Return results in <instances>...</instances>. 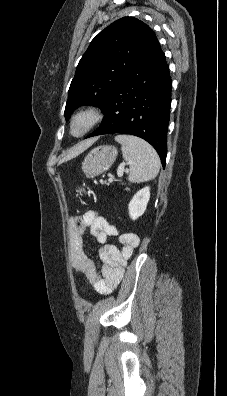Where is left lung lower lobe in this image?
<instances>
[{
	"label": "left lung lower lobe",
	"mask_w": 227,
	"mask_h": 396,
	"mask_svg": "<svg viewBox=\"0 0 227 396\" xmlns=\"http://www.w3.org/2000/svg\"><path fill=\"white\" fill-rule=\"evenodd\" d=\"M172 81L158 43L130 71L102 110L101 126L86 138L112 133L138 136L150 143L165 167Z\"/></svg>",
	"instance_id": "left-lung-lower-lobe-1"
}]
</instances>
